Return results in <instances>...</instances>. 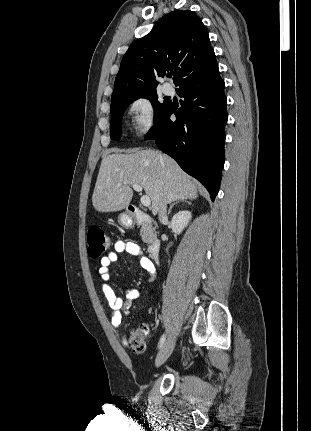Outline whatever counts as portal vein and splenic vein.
Instances as JSON below:
<instances>
[{"mask_svg":"<svg viewBox=\"0 0 311 431\" xmlns=\"http://www.w3.org/2000/svg\"><path fill=\"white\" fill-rule=\"evenodd\" d=\"M117 186H121V184H117ZM132 188L135 190V192H143V188L138 186V184H132ZM140 202L142 206H145V208H149V206H151V200L149 196H141Z\"/></svg>","mask_w":311,"mask_h":431,"instance_id":"18ae733b","label":"portal vein and splenic vein"}]
</instances>
